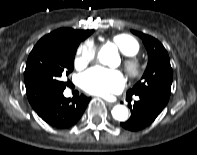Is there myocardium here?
I'll return each instance as SVG.
<instances>
[{"mask_svg":"<svg viewBox=\"0 0 197 155\" xmlns=\"http://www.w3.org/2000/svg\"><path fill=\"white\" fill-rule=\"evenodd\" d=\"M123 67L131 79H137L143 74V64L135 56H127L123 61Z\"/></svg>","mask_w":197,"mask_h":155,"instance_id":"f54148a6","label":"myocardium"}]
</instances>
